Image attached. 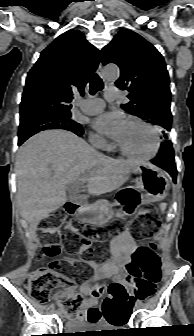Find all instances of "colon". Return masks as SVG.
I'll use <instances>...</instances> for the list:
<instances>
[{
    "label": "colon",
    "mask_w": 194,
    "mask_h": 336,
    "mask_svg": "<svg viewBox=\"0 0 194 336\" xmlns=\"http://www.w3.org/2000/svg\"><path fill=\"white\" fill-rule=\"evenodd\" d=\"M160 221L153 215L151 207H146L141 216L131 226V233L136 237H149L158 232ZM77 225L66 219L62 210L50 213L39 225L38 231L42 239L44 254L48 257L57 256L62 250V241L65 239L66 248L73 253L79 252L82 259L75 263L84 270L88 263L98 258L104 251V240L100 237L93 239L90 235L72 233ZM156 245L153 243L142 244L134 255L129 266L131 281L140 279L150 287L160 280V273L156 264ZM62 263H54L46 268L38 269L29 274L25 279V286L31 298L38 303H47L51 293L57 289L71 290L74 287L72 278L62 274ZM109 297L103 303L106 319L114 324L118 309L115 302L118 297H123L126 302L132 303L136 296L130 294L125 286L117 281L107 286ZM100 289L94 288L92 294L99 297ZM82 296L78 293L65 297L60 306L70 317H75L80 311Z\"/></svg>",
    "instance_id": "5ec220e1"
}]
</instances>
